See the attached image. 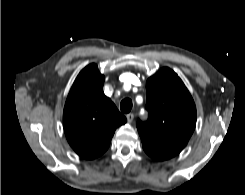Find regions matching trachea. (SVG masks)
I'll return each mask as SVG.
<instances>
[{
    "label": "trachea",
    "instance_id": "1",
    "mask_svg": "<svg viewBox=\"0 0 245 195\" xmlns=\"http://www.w3.org/2000/svg\"><path fill=\"white\" fill-rule=\"evenodd\" d=\"M120 109L123 113H129L132 109V101L129 98L123 99L120 104Z\"/></svg>",
    "mask_w": 245,
    "mask_h": 195
}]
</instances>
